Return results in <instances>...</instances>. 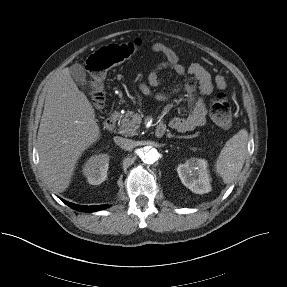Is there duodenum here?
Masks as SVG:
<instances>
[{
    "label": "duodenum",
    "instance_id": "1",
    "mask_svg": "<svg viewBox=\"0 0 287 287\" xmlns=\"http://www.w3.org/2000/svg\"><path fill=\"white\" fill-rule=\"evenodd\" d=\"M116 112L111 113L106 120L104 121V127L106 130H113L116 124ZM166 131L165 125L164 124H158L155 130V134L158 137H161L164 135Z\"/></svg>",
    "mask_w": 287,
    "mask_h": 287
}]
</instances>
